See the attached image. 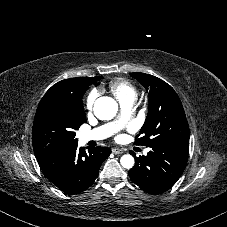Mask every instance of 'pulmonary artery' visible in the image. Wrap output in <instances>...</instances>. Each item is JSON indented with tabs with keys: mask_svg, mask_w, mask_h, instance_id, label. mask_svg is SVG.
<instances>
[{
	"mask_svg": "<svg viewBox=\"0 0 227 227\" xmlns=\"http://www.w3.org/2000/svg\"><path fill=\"white\" fill-rule=\"evenodd\" d=\"M121 106L122 115L117 121L108 123L91 131L82 133L80 136L81 142L87 143L92 140H102L116 133L125 122L130 120L133 102L128 101L123 103Z\"/></svg>",
	"mask_w": 227,
	"mask_h": 227,
	"instance_id": "pulmonary-artery-1",
	"label": "pulmonary artery"
}]
</instances>
